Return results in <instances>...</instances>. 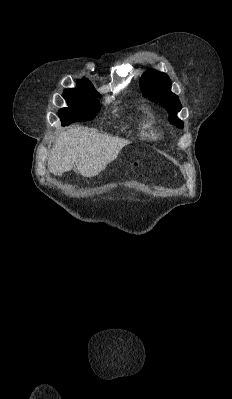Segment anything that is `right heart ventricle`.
Returning <instances> with one entry per match:
<instances>
[{
    "label": "right heart ventricle",
    "mask_w": 232,
    "mask_h": 399,
    "mask_svg": "<svg viewBox=\"0 0 232 399\" xmlns=\"http://www.w3.org/2000/svg\"><path fill=\"white\" fill-rule=\"evenodd\" d=\"M136 129L141 136L150 140H158L163 135L162 124L151 107H143L141 109Z\"/></svg>",
    "instance_id": "e07e8e85"
}]
</instances>
